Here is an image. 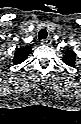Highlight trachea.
I'll list each match as a JSON object with an SVG mask.
<instances>
[{
	"label": "trachea",
	"mask_w": 81,
	"mask_h": 124,
	"mask_svg": "<svg viewBox=\"0 0 81 124\" xmlns=\"http://www.w3.org/2000/svg\"><path fill=\"white\" fill-rule=\"evenodd\" d=\"M47 36H48V33H47V31H46L45 29H41V30L39 31V33H38V38H39L40 40L46 39Z\"/></svg>",
	"instance_id": "obj_1"
}]
</instances>
